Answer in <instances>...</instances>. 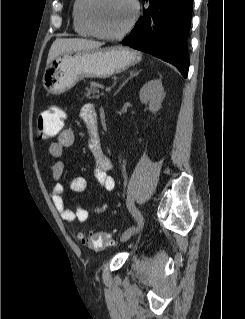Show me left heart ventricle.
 <instances>
[{
  "label": "left heart ventricle",
  "mask_w": 245,
  "mask_h": 319,
  "mask_svg": "<svg viewBox=\"0 0 245 319\" xmlns=\"http://www.w3.org/2000/svg\"><path fill=\"white\" fill-rule=\"evenodd\" d=\"M92 13L102 31L117 33L131 20L133 8L128 0H98Z\"/></svg>",
  "instance_id": "1"
}]
</instances>
